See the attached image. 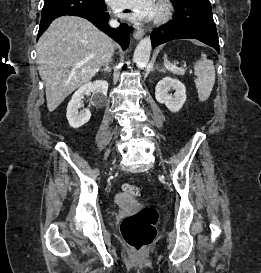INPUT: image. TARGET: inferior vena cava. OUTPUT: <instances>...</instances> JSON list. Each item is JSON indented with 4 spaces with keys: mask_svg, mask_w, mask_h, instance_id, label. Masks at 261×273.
Returning a JSON list of instances; mask_svg holds the SVG:
<instances>
[{
    "mask_svg": "<svg viewBox=\"0 0 261 273\" xmlns=\"http://www.w3.org/2000/svg\"><path fill=\"white\" fill-rule=\"evenodd\" d=\"M109 24H110V26L113 27V28H116V27L119 26V23H118V21H117L116 19L110 20V21H109Z\"/></svg>",
    "mask_w": 261,
    "mask_h": 273,
    "instance_id": "602c4592",
    "label": "inferior vena cava"
}]
</instances>
